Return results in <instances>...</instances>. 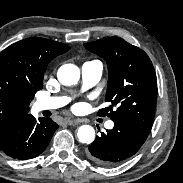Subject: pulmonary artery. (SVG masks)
<instances>
[{
	"label": "pulmonary artery",
	"instance_id": "1",
	"mask_svg": "<svg viewBox=\"0 0 183 183\" xmlns=\"http://www.w3.org/2000/svg\"><path fill=\"white\" fill-rule=\"evenodd\" d=\"M103 72V65L98 60L85 62L81 67L83 86L82 90H87L96 85L101 79ZM68 102L67 97L54 96L43 97L38 99L34 104L36 111L54 110L64 106ZM114 126L113 122H108L106 127L111 129Z\"/></svg>",
	"mask_w": 183,
	"mask_h": 183
}]
</instances>
